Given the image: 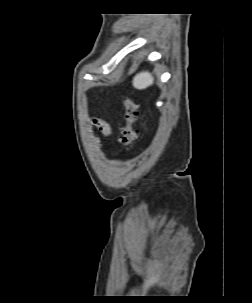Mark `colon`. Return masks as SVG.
Wrapping results in <instances>:
<instances>
[{
    "label": "colon",
    "instance_id": "1",
    "mask_svg": "<svg viewBox=\"0 0 252 303\" xmlns=\"http://www.w3.org/2000/svg\"><path fill=\"white\" fill-rule=\"evenodd\" d=\"M123 104L125 107V124L121 128L122 144L126 150H129L139 137L134 127L138 119V106L128 96L123 98Z\"/></svg>",
    "mask_w": 252,
    "mask_h": 303
}]
</instances>
